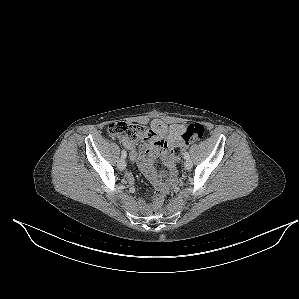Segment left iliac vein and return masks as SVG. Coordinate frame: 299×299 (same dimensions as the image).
<instances>
[{
  "label": "left iliac vein",
  "instance_id": "1",
  "mask_svg": "<svg viewBox=\"0 0 299 299\" xmlns=\"http://www.w3.org/2000/svg\"><path fill=\"white\" fill-rule=\"evenodd\" d=\"M184 166L187 170H190L192 168V162L191 160L187 159L184 163Z\"/></svg>",
  "mask_w": 299,
  "mask_h": 299
}]
</instances>
